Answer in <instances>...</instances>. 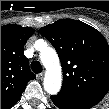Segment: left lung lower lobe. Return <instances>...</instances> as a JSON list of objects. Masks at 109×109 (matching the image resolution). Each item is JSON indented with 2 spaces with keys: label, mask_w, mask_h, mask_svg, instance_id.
Here are the masks:
<instances>
[{
  "label": "left lung lower lobe",
  "mask_w": 109,
  "mask_h": 109,
  "mask_svg": "<svg viewBox=\"0 0 109 109\" xmlns=\"http://www.w3.org/2000/svg\"><path fill=\"white\" fill-rule=\"evenodd\" d=\"M51 100L60 109H90L97 104L87 98L64 90H61L57 95L51 96Z\"/></svg>",
  "instance_id": "0a47b994"
}]
</instances>
